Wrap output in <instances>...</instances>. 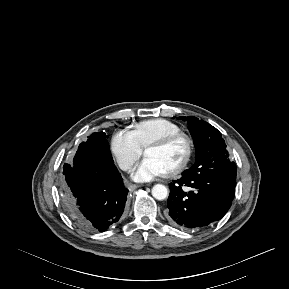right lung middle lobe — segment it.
Listing matches in <instances>:
<instances>
[{
	"label": "right lung middle lobe",
	"instance_id": "1",
	"mask_svg": "<svg viewBox=\"0 0 289 289\" xmlns=\"http://www.w3.org/2000/svg\"><path fill=\"white\" fill-rule=\"evenodd\" d=\"M85 155H91L92 157L105 163H113L107 136L104 132L93 133L88 137L86 142H83L79 145L78 151L76 152V155L73 159V164H75L79 158ZM71 165L65 164L63 167L64 170L69 169Z\"/></svg>",
	"mask_w": 289,
	"mask_h": 289
}]
</instances>
